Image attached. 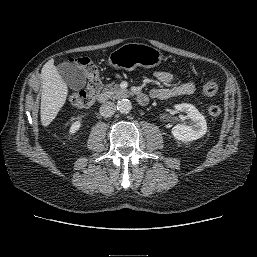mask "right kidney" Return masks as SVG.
Returning a JSON list of instances; mask_svg holds the SVG:
<instances>
[{
    "instance_id": "obj_1",
    "label": "right kidney",
    "mask_w": 257,
    "mask_h": 257,
    "mask_svg": "<svg viewBox=\"0 0 257 257\" xmlns=\"http://www.w3.org/2000/svg\"><path fill=\"white\" fill-rule=\"evenodd\" d=\"M81 127V120H77L74 122L70 129H69V135H74Z\"/></svg>"
}]
</instances>
